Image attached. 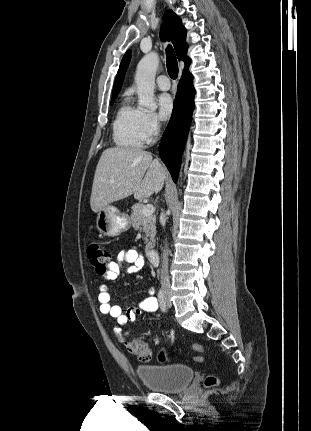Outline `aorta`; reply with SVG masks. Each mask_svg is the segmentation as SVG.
<instances>
[{
    "label": "aorta",
    "instance_id": "obj_1",
    "mask_svg": "<svg viewBox=\"0 0 311 431\" xmlns=\"http://www.w3.org/2000/svg\"><path fill=\"white\" fill-rule=\"evenodd\" d=\"M159 62L157 52H150L140 60L137 66L134 80L138 94V108H149V110H156L157 108L154 88Z\"/></svg>",
    "mask_w": 311,
    "mask_h": 431
}]
</instances>
